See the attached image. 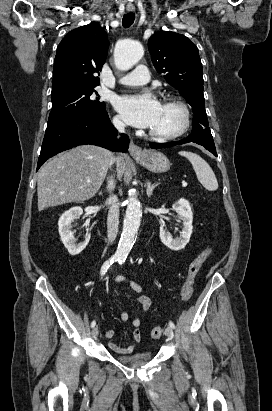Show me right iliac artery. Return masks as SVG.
I'll list each match as a JSON object with an SVG mask.
<instances>
[{
  "instance_id": "obj_1",
  "label": "right iliac artery",
  "mask_w": 272,
  "mask_h": 411,
  "mask_svg": "<svg viewBox=\"0 0 272 411\" xmlns=\"http://www.w3.org/2000/svg\"><path fill=\"white\" fill-rule=\"evenodd\" d=\"M116 261H119V259L116 258V257H111L110 259H108V260L103 264V266L101 267V272H100L101 275H104V274L107 272L108 268H109L114 262H116ZM95 325H96V322H95V321H92L91 327L93 328V327H95Z\"/></svg>"
}]
</instances>
